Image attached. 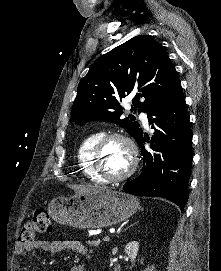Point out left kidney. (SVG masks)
I'll return each mask as SVG.
<instances>
[{"label":"left kidney","instance_id":"obj_1","mask_svg":"<svg viewBox=\"0 0 221 271\" xmlns=\"http://www.w3.org/2000/svg\"><path fill=\"white\" fill-rule=\"evenodd\" d=\"M139 249V241H128L125 245V253L130 257V261H136V255Z\"/></svg>","mask_w":221,"mask_h":271}]
</instances>
